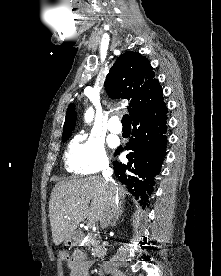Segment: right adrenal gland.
<instances>
[{"instance_id":"1","label":"right adrenal gland","mask_w":221,"mask_h":276,"mask_svg":"<svg viewBox=\"0 0 221 276\" xmlns=\"http://www.w3.org/2000/svg\"><path fill=\"white\" fill-rule=\"evenodd\" d=\"M123 210H124L123 205H122V203H120L119 208H118V213H117L115 219L113 220V222L110 224V226L114 227L116 225L117 221L119 220V218L121 217V215L123 213Z\"/></svg>"}]
</instances>
